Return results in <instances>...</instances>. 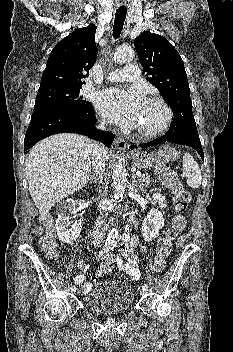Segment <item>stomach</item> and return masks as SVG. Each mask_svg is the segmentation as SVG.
<instances>
[{"instance_id": "1", "label": "stomach", "mask_w": 233, "mask_h": 352, "mask_svg": "<svg viewBox=\"0 0 233 352\" xmlns=\"http://www.w3.org/2000/svg\"><path fill=\"white\" fill-rule=\"evenodd\" d=\"M133 165L138 169H150L157 161L152 154L146 152H137L132 156Z\"/></svg>"}]
</instances>
